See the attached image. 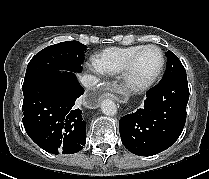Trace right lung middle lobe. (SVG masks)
Masks as SVG:
<instances>
[{"instance_id":"1","label":"right lung middle lobe","mask_w":209,"mask_h":179,"mask_svg":"<svg viewBox=\"0 0 209 179\" xmlns=\"http://www.w3.org/2000/svg\"><path fill=\"white\" fill-rule=\"evenodd\" d=\"M86 46L78 41L61 42L38 52L29 62L23 83V94L40 79L60 69L82 71Z\"/></svg>"}]
</instances>
